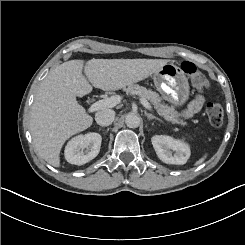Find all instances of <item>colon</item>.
<instances>
[{
    "label": "colon",
    "mask_w": 245,
    "mask_h": 245,
    "mask_svg": "<svg viewBox=\"0 0 245 245\" xmlns=\"http://www.w3.org/2000/svg\"><path fill=\"white\" fill-rule=\"evenodd\" d=\"M181 69L187 74L192 84L199 90L208 87V80L204 73L192 62L186 61L181 64ZM206 115L210 124L219 127L223 124L224 112L219 103L211 102L206 107Z\"/></svg>",
    "instance_id": "5ec220e1"
}]
</instances>
